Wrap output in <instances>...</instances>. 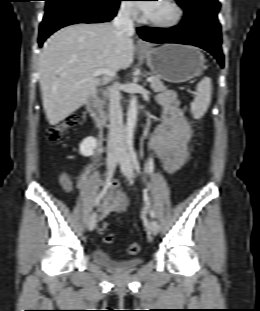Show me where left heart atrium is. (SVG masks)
Returning <instances> with one entry per match:
<instances>
[{
	"instance_id": "39dd6f15",
	"label": "left heart atrium",
	"mask_w": 260,
	"mask_h": 311,
	"mask_svg": "<svg viewBox=\"0 0 260 311\" xmlns=\"http://www.w3.org/2000/svg\"><path fill=\"white\" fill-rule=\"evenodd\" d=\"M149 2H152V1H146V2H143V3L139 4V8L146 15H149L152 12L153 8H154V4L153 3H149Z\"/></svg>"
}]
</instances>
